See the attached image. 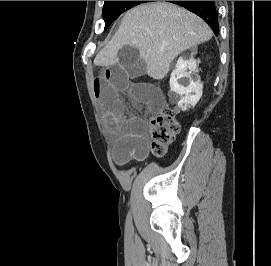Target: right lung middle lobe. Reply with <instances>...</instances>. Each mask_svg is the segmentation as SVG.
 <instances>
[{"mask_svg": "<svg viewBox=\"0 0 271 266\" xmlns=\"http://www.w3.org/2000/svg\"><path fill=\"white\" fill-rule=\"evenodd\" d=\"M146 2L150 1H105L102 11L105 21V30L109 28L111 23L117 19L121 13Z\"/></svg>", "mask_w": 271, "mask_h": 266, "instance_id": "obj_1", "label": "right lung middle lobe"}]
</instances>
